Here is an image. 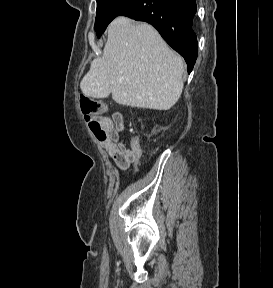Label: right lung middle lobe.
I'll list each match as a JSON object with an SVG mask.
<instances>
[{
	"mask_svg": "<svg viewBox=\"0 0 273 288\" xmlns=\"http://www.w3.org/2000/svg\"><path fill=\"white\" fill-rule=\"evenodd\" d=\"M97 15L94 29L100 37L108 24L129 9L137 0H96Z\"/></svg>",
	"mask_w": 273,
	"mask_h": 288,
	"instance_id": "dd1d6c3e",
	"label": "right lung middle lobe"
}]
</instances>
